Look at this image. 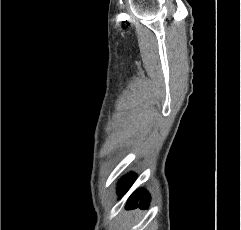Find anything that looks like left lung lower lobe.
<instances>
[{
  "label": "left lung lower lobe",
  "instance_id": "1",
  "mask_svg": "<svg viewBox=\"0 0 241 230\" xmlns=\"http://www.w3.org/2000/svg\"><path fill=\"white\" fill-rule=\"evenodd\" d=\"M135 177L133 175L125 176L119 185V194L123 195L130 188L134 181ZM140 200L139 207L146 208L148 206V202L150 200V196L147 191L140 189L137 190L127 202V209H132L137 207V201Z\"/></svg>",
  "mask_w": 241,
  "mask_h": 230
}]
</instances>
